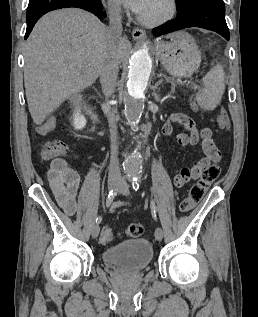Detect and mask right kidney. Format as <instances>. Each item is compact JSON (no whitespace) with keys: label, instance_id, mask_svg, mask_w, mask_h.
Returning <instances> with one entry per match:
<instances>
[{"label":"right kidney","instance_id":"1","mask_svg":"<svg viewBox=\"0 0 258 317\" xmlns=\"http://www.w3.org/2000/svg\"><path fill=\"white\" fill-rule=\"evenodd\" d=\"M86 122H87V120H86L84 114H81V110H76V112H74V114H73V126H74V128H78V130H80V128H84Z\"/></svg>","mask_w":258,"mask_h":317}]
</instances>
